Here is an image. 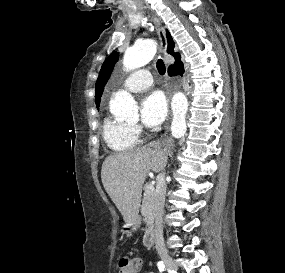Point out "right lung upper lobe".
I'll return each mask as SVG.
<instances>
[{
  "instance_id": "1",
  "label": "right lung upper lobe",
  "mask_w": 285,
  "mask_h": 273,
  "mask_svg": "<svg viewBox=\"0 0 285 273\" xmlns=\"http://www.w3.org/2000/svg\"><path fill=\"white\" fill-rule=\"evenodd\" d=\"M167 39H168V49L167 52H169L172 56H174L175 60H179L180 59V54L179 53H174L173 49H174V41L171 37V35L169 34V32L167 31Z\"/></svg>"
}]
</instances>
